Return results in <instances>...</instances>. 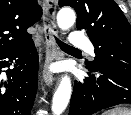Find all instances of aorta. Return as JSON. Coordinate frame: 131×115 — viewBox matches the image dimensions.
Instances as JSON below:
<instances>
[{
    "label": "aorta",
    "mask_w": 131,
    "mask_h": 115,
    "mask_svg": "<svg viewBox=\"0 0 131 115\" xmlns=\"http://www.w3.org/2000/svg\"><path fill=\"white\" fill-rule=\"evenodd\" d=\"M76 20L75 13L70 8H62L57 14V24L61 30H67L73 26ZM71 80L69 76L62 77L59 86L57 87L53 100L52 112L53 115H61L66 109L71 97Z\"/></svg>",
    "instance_id": "762f6f07"
}]
</instances>
